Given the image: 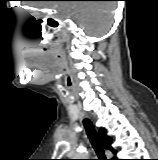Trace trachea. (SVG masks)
Returning <instances> with one entry per match:
<instances>
[{"label":"trachea","mask_w":158,"mask_h":160,"mask_svg":"<svg viewBox=\"0 0 158 160\" xmlns=\"http://www.w3.org/2000/svg\"><path fill=\"white\" fill-rule=\"evenodd\" d=\"M83 124L86 129L88 138H89V140H90V142H91V144H92V146H93V148L99 158L97 160H107L105 157L103 146L97 137L96 130H95L92 122L89 119H84Z\"/></svg>","instance_id":"trachea-1"}]
</instances>
